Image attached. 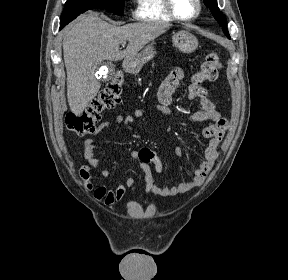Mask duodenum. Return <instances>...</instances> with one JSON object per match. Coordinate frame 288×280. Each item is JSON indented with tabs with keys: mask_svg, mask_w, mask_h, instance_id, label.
I'll return each instance as SVG.
<instances>
[{
	"mask_svg": "<svg viewBox=\"0 0 288 280\" xmlns=\"http://www.w3.org/2000/svg\"><path fill=\"white\" fill-rule=\"evenodd\" d=\"M124 69L126 72H131L132 71V67L130 65V63L128 61L124 62Z\"/></svg>",
	"mask_w": 288,
	"mask_h": 280,
	"instance_id": "1",
	"label": "duodenum"
}]
</instances>
